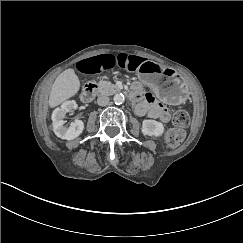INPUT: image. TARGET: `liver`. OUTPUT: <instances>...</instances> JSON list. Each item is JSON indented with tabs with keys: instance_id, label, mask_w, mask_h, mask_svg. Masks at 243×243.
Here are the masks:
<instances>
[{
	"instance_id": "6515ba94",
	"label": "liver",
	"mask_w": 243,
	"mask_h": 243,
	"mask_svg": "<svg viewBox=\"0 0 243 243\" xmlns=\"http://www.w3.org/2000/svg\"><path fill=\"white\" fill-rule=\"evenodd\" d=\"M81 81L74 68H67L55 79L48 99V106L54 109L74 97L80 90Z\"/></svg>"
}]
</instances>
